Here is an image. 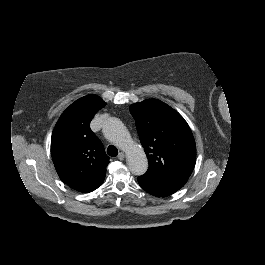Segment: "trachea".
<instances>
[{
    "label": "trachea",
    "instance_id": "trachea-1",
    "mask_svg": "<svg viewBox=\"0 0 265 265\" xmlns=\"http://www.w3.org/2000/svg\"><path fill=\"white\" fill-rule=\"evenodd\" d=\"M107 154H108L109 156L115 157V156H117V154H118V150H117V148H116L115 146L110 145V146H108V148H107Z\"/></svg>",
    "mask_w": 265,
    "mask_h": 265
}]
</instances>
